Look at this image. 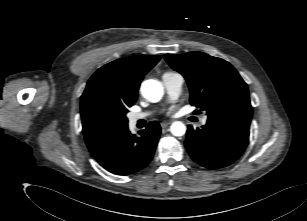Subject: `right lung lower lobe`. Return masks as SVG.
I'll return each mask as SVG.
<instances>
[{"label": "right lung lower lobe", "mask_w": 307, "mask_h": 221, "mask_svg": "<svg viewBox=\"0 0 307 221\" xmlns=\"http://www.w3.org/2000/svg\"><path fill=\"white\" fill-rule=\"evenodd\" d=\"M160 132L156 121L141 130L138 137L132 135L127 127L108 137L90 152L107 171L117 175L133 174L151 161Z\"/></svg>", "instance_id": "right-lung-lower-lobe-1"}]
</instances>
